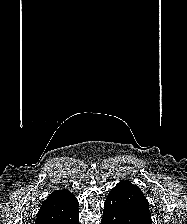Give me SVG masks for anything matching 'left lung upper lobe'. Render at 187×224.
Segmentation results:
<instances>
[{"label":"left lung upper lobe","mask_w":187,"mask_h":224,"mask_svg":"<svg viewBox=\"0 0 187 224\" xmlns=\"http://www.w3.org/2000/svg\"><path fill=\"white\" fill-rule=\"evenodd\" d=\"M112 190L119 194L122 201L133 213L152 221L149 203L137 185H133L128 180H123Z\"/></svg>","instance_id":"obj_1"}]
</instances>
